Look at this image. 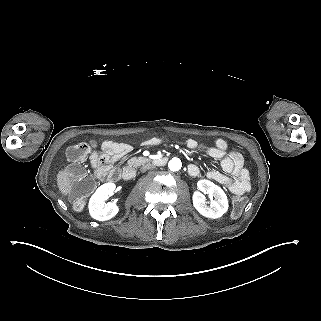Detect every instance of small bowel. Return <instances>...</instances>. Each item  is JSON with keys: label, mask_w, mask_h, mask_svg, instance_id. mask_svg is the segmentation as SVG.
<instances>
[{"label": "small bowel", "mask_w": 321, "mask_h": 321, "mask_svg": "<svg viewBox=\"0 0 321 321\" xmlns=\"http://www.w3.org/2000/svg\"><path fill=\"white\" fill-rule=\"evenodd\" d=\"M162 142L159 137H150L143 143L146 146H156ZM186 145L189 149L203 150L208 156L219 160L222 170L230 174L228 176L217 170H209L206 176L225 186L235 194H242L250 190V175L244 166V160L240 153L228 151L226 141L218 139L213 146L207 147L198 144L194 139H188ZM132 150L131 145L123 142L105 140L101 144L100 151H94L90 156V162L95 174L99 178H108L116 174L113 165ZM191 176L196 177L200 173L198 166L191 164L188 167Z\"/></svg>", "instance_id": "1"}]
</instances>
